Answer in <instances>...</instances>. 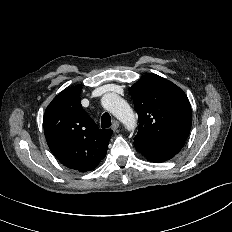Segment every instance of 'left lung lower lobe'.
<instances>
[{
	"label": "left lung lower lobe",
	"instance_id": "left-lung-lower-lobe-1",
	"mask_svg": "<svg viewBox=\"0 0 232 232\" xmlns=\"http://www.w3.org/2000/svg\"><path fill=\"white\" fill-rule=\"evenodd\" d=\"M135 148L149 161L161 163L173 158L184 146V142L172 141L157 144L134 142Z\"/></svg>",
	"mask_w": 232,
	"mask_h": 232
}]
</instances>
